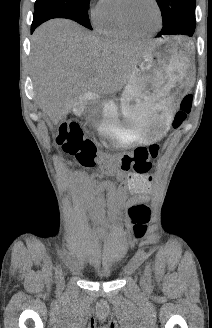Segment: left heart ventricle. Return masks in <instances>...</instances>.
I'll use <instances>...</instances> for the list:
<instances>
[{"mask_svg": "<svg viewBox=\"0 0 212 328\" xmlns=\"http://www.w3.org/2000/svg\"><path fill=\"white\" fill-rule=\"evenodd\" d=\"M129 13L133 23L143 31H151L159 24V16L151 0H132Z\"/></svg>", "mask_w": 212, "mask_h": 328, "instance_id": "b2bd125f", "label": "left heart ventricle"}]
</instances>
